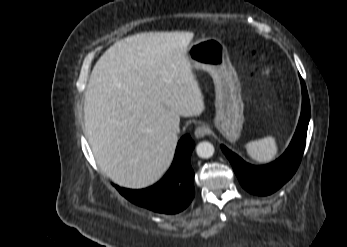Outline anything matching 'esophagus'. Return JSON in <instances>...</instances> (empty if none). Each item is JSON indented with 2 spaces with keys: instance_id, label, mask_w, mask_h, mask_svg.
I'll return each mask as SVG.
<instances>
[{
  "instance_id": "esophagus-1",
  "label": "esophagus",
  "mask_w": 347,
  "mask_h": 247,
  "mask_svg": "<svg viewBox=\"0 0 347 247\" xmlns=\"http://www.w3.org/2000/svg\"><path fill=\"white\" fill-rule=\"evenodd\" d=\"M209 133H210V129L205 125L198 126L194 131L195 137L197 138H202Z\"/></svg>"
}]
</instances>
